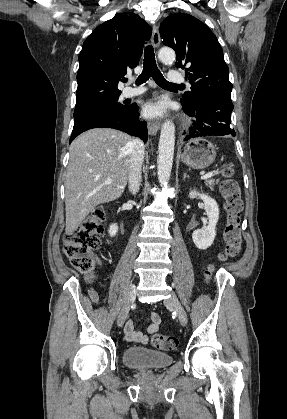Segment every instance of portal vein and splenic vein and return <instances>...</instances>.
Wrapping results in <instances>:
<instances>
[{
    "mask_svg": "<svg viewBox=\"0 0 287 419\" xmlns=\"http://www.w3.org/2000/svg\"><path fill=\"white\" fill-rule=\"evenodd\" d=\"M212 176H213V173H212V172H209V173H207V174L202 175V176H201V179H202V180H205V179L211 178ZM111 181H112L111 179H108V180H107V182H108V183H110Z\"/></svg>",
    "mask_w": 287,
    "mask_h": 419,
    "instance_id": "18ae733b",
    "label": "portal vein and splenic vein"
}]
</instances>
